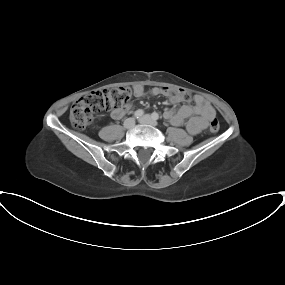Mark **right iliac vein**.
<instances>
[{
  "instance_id": "obj_1",
  "label": "right iliac vein",
  "mask_w": 285,
  "mask_h": 285,
  "mask_svg": "<svg viewBox=\"0 0 285 285\" xmlns=\"http://www.w3.org/2000/svg\"><path fill=\"white\" fill-rule=\"evenodd\" d=\"M135 119L129 118L124 122V127L127 129L133 128L135 126Z\"/></svg>"
}]
</instances>
